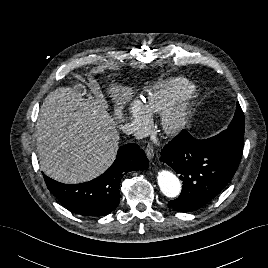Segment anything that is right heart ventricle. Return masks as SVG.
<instances>
[{
  "label": "right heart ventricle",
  "mask_w": 268,
  "mask_h": 268,
  "mask_svg": "<svg viewBox=\"0 0 268 268\" xmlns=\"http://www.w3.org/2000/svg\"><path fill=\"white\" fill-rule=\"evenodd\" d=\"M193 88L192 83L186 78H174L151 87L143 98L151 114L163 113L183 93Z\"/></svg>",
  "instance_id": "1"
}]
</instances>
